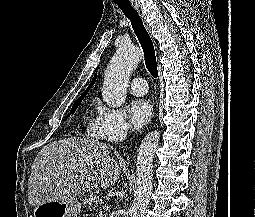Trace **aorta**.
I'll use <instances>...</instances> for the list:
<instances>
[{"instance_id": "obj_1", "label": "aorta", "mask_w": 255, "mask_h": 217, "mask_svg": "<svg viewBox=\"0 0 255 217\" xmlns=\"http://www.w3.org/2000/svg\"><path fill=\"white\" fill-rule=\"evenodd\" d=\"M142 58L141 50L132 45L120 46L105 70L102 88L103 100L114 108L121 107L126 100V92L131 71ZM158 131L148 133L141 142L137 154L135 198L129 209V217H144L153 189V158L159 145Z\"/></svg>"}]
</instances>
